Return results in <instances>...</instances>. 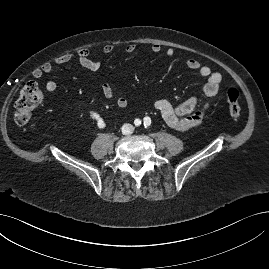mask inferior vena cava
Instances as JSON below:
<instances>
[{"mask_svg": "<svg viewBox=\"0 0 269 269\" xmlns=\"http://www.w3.org/2000/svg\"><path fill=\"white\" fill-rule=\"evenodd\" d=\"M132 129H133V126H132V125H130V124H125V125L122 127V132H123V134H129V133H131Z\"/></svg>", "mask_w": 269, "mask_h": 269, "instance_id": "inferior-vena-cava-1", "label": "inferior vena cava"}]
</instances>
